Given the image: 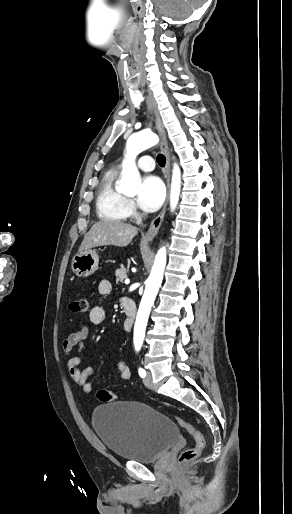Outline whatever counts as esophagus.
<instances>
[{
	"instance_id": "34e87169",
	"label": "esophagus",
	"mask_w": 292,
	"mask_h": 514,
	"mask_svg": "<svg viewBox=\"0 0 292 514\" xmlns=\"http://www.w3.org/2000/svg\"><path fill=\"white\" fill-rule=\"evenodd\" d=\"M146 102H147V107H148V110L155 116V124H156V128H157V131L160 135V138H161V149L165 152L166 154V181H167V198H166V201L164 203V206L160 212L159 215H157V217H155V219L152 221V223L150 224V227L146 233V240H152L157 232L159 231L160 227H161V224L164 220V215H165V212H166V207H167V204H168V198H169V187H170V157H169V153H168V145H167V138H166V133H165V130H164V127H163V124L161 122V119H160V116L156 110V107L154 105V102L153 100L147 96V99H146Z\"/></svg>"
}]
</instances>
